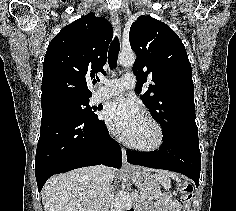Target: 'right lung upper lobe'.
Listing matches in <instances>:
<instances>
[{"label":"right lung upper lobe","instance_id":"right-lung-upper-lobe-1","mask_svg":"<svg viewBox=\"0 0 236 211\" xmlns=\"http://www.w3.org/2000/svg\"><path fill=\"white\" fill-rule=\"evenodd\" d=\"M113 28L93 13L65 26L49 43L43 63L41 104L58 98L89 99L87 82L104 73Z\"/></svg>","mask_w":236,"mask_h":211}]
</instances>
